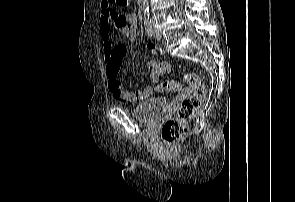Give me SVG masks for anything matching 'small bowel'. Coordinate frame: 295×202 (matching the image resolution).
<instances>
[{
  "label": "small bowel",
  "mask_w": 295,
  "mask_h": 202,
  "mask_svg": "<svg viewBox=\"0 0 295 202\" xmlns=\"http://www.w3.org/2000/svg\"><path fill=\"white\" fill-rule=\"evenodd\" d=\"M100 8V33L104 46L103 52L109 90L115 98L131 103L140 102L149 98L155 92V87L153 85L147 86L139 91H131L121 87L119 70L121 60L126 55V48L123 45L114 46V40L111 34L112 28L115 27L126 39L130 41L135 40L138 26L137 15L135 13L127 15L119 14L118 11L111 6L110 0H101ZM148 49L152 54L158 51L152 44H148ZM161 76L162 75H153V73L149 71V77L153 84H156ZM183 98H190V89H187V85H182L179 98H172L170 107H179V103H183Z\"/></svg>",
  "instance_id": "1"
}]
</instances>
